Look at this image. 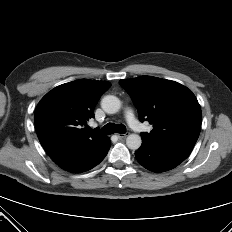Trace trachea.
<instances>
[{"instance_id": "obj_1", "label": "trachea", "mask_w": 232, "mask_h": 232, "mask_svg": "<svg viewBox=\"0 0 232 232\" xmlns=\"http://www.w3.org/2000/svg\"><path fill=\"white\" fill-rule=\"evenodd\" d=\"M115 132L124 134L126 132V127L123 124L115 125L113 123H108L103 127L101 134L102 135H110V134H113Z\"/></svg>"}]
</instances>
